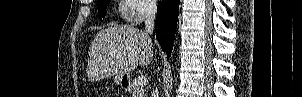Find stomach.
Here are the masks:
<instances>
[{
	"mask_svg": "<svg viewBox=\"0 0 302 97\" xmlns=\"http://www.w3.org/2000/svg\"><path fill=\"white\" fill-rule=\"evenodd\" d=\"M129 76L127 74H123V75H113V80L114 83L118 86H121L123 88L127 87L128 83H129Z\"/></svg>",
	"mask_w": 302,
	"mask_h": 97,
	"instance_id": "0dacf381",
	"label": "stomach"
}]
</instances>
